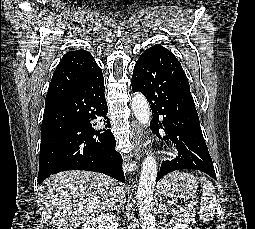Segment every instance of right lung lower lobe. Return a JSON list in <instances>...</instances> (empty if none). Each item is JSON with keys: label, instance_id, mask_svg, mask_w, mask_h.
<instances>
[{"label": "right lung lower lobe", "instance_id": "98d812e1", "mask_svg": "<svg viewBox=\"0 0 255 229\" xmlns=\"http://www.w3.org/2000/svg\"><path fill=\"white\" fill-rule=\"evenodd\" d=\"M60 120L65 121V133L51 166L39 167V184L66 170L100 172L125 182L122 157L115 150L110 131L104 77L99 67L78 80L67 97L45 105L42 130Z\"/></svg>", "mask_w": 255, "mask_h": 229}]
</instances>
